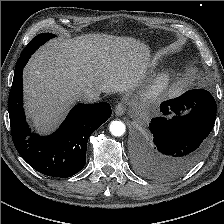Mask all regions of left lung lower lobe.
Wrapping results in <instances>:
<instances>
[{
    "label": "left lung lower lobe",
    "instance_id": "obj_1",
    "mask_svg": "<svg viewBox=\"0 0 224 224\" xmlns=\"http://www.w3.org/2000/svg\"><path fill=\"white\" fill-rule=\"evenodd\" d=\"M192 109L189 115L153 118L147 126L153 145H137L136 168L139 172L166 179L181 174L201 157L206 139L216 118V102L206 90H190L160 105L164 116L169 110L179 115Z\"/></svg>",
    "mask_w": 224,
    "mask_h": 224
}]
</instances>
